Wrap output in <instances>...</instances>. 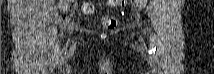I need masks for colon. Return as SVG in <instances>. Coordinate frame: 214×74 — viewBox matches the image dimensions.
<instances>
[{
    "mask_svg": "<svg viewBox=\"0 0 214 74\" xmlns=\"http://www.w3.org/2000/svg\"><path fill=\"white\" fill-rule=\"evenodd\" d=\"M126 3L125 0H109L107 1V4L110 6H116V5H121L124 6ZM94 10V5L91 2H86L83 5V11L90 13ZM101 22L103 24V26L107 29V30H113L116 28L117 26V19L116 17L112 16V15H103L101 17Z\"/></svg>",
    "mask_w": 214,
    "mask_h": 74,
    "instance_id": "1",
    "label": "colon"
}]
</instances>
